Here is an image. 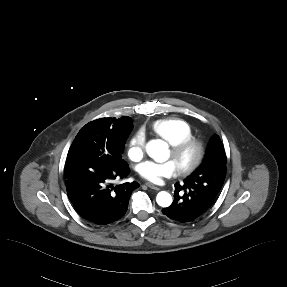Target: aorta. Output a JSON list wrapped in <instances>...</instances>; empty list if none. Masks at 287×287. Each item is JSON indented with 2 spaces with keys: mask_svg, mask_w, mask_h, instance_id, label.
Wrapping results in <instances>:
<instances>
[{
  "mask_svg": "<svg viewBox=\"0 0 287 287\" xmlns=\"http://www.w3.org/2000/svg\"><path fill=\"white\" fill-rule=\"evenodd\" d=\"M146 152L156 162H164L168 157V145L160 139L151 140L146 146ZM156 202L161 207H169L172 204V196L161 191L156 196Z\"/></svg>",
  "mask_w": 287,
  "mask_h": 287,
  "instance_id": "1",
  "label": "aorta"
}]
</instances>
